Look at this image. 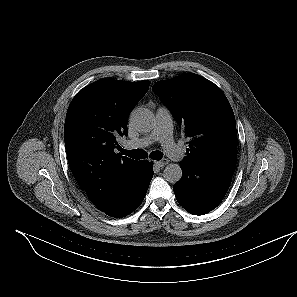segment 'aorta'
<instances>
[{"label": "aorta", "mask_w": 297, "mask_h": 297, "mask_svg": "<svg viewBox=\"0 0 297 297\" xmlns=\"http://www.w3.org/2000/svg\"><path fill=\"white\" fill-rule=\"evenodd\" d=\"M130 121L137 130L148 131L153 125V114L146 108L138 107L132 111ZM163 177L167 182L175 184L182 177V169L178 164H168L163 171Z\"/></svg>", "instance_id": "obj_1"}]
</instances>
